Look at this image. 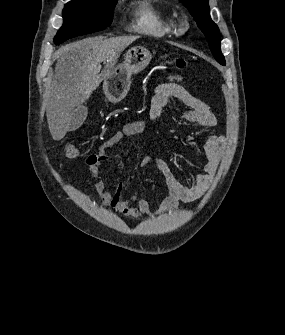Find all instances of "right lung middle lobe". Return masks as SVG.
I'll return each mask as SVG.
<instances>
[{
	"label": "right lung middle lobe",
	"instance_id": "obj_1",
	"mask_svg": "<svg viewBox=\"0 0 285 335\" xmlns=\"http://www.w3.org/2000/svg\"><path fill=\"white\" fill-rule=\"evenodd\" d=\"M116 2L102 0H72L63 9L64 23L54 42H61L78 35L100 31L109 26Z\"/></svg>",
	"mask_w": 285,
	"mask_h": 335
}]
</instances>
